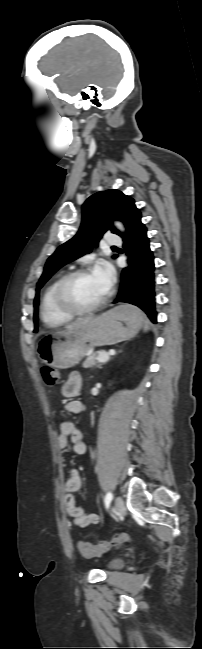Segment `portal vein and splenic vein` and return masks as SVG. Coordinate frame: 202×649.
Instances as JSON below:
<instances>
[{
  "label": "portal vein and splenic vein",
  "mask_w": 202,
  "mask_h": 649,
  "mask_svg": "<svg viewBox=\"0 0 202 649\" xmlns=\"http://www.w3.org/2000/svg\"><path fill=\"white\" fill-rule=\"evenodd\" d=\"M109 354H110V355H114V354H115V351H114V350H110L108 354H106V353H100V354L98 355V357H97L98 362H101V363H103V362H107V361L109 360Z\"/></svg>",
  "instance_id": "portal-vein-and-splenic-vein-1"
}]
</instances>
